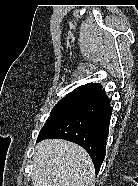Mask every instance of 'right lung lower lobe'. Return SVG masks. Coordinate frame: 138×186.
Segmentation results:
<instances>
[{"label": "right lung lower lobe", "mask_w": 138, "mask_h": 186, "mask_svg": "<svg viewBox=\"0 0 138 186\" xmlns=\"http://www.w3.org/2000/svg\"><path fill=\"white\" fill-rule=\"evenodd\" d=\"M92 92L88 103L68 115L37 141L58 138L82 146L98 173L105 157L112 108L103 90Z\"/></svg>", "instance_id": "98d812e1"}]
</instances>
